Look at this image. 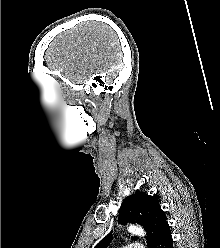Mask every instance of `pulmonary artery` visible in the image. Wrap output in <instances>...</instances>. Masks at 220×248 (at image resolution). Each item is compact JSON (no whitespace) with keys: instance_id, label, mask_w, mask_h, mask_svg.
Masks as SVG:
<instances>
[{"instance_id":"e3ab8cb5","label":"pulmonary artery","mask_w":220,"mask_h":248,"mask_svg":"<svg viewBox=\"0 0 220 248\" xmlns=\"http://www.w3.org/2000/svg\"><path fill=\"white\" fill-rule=\"evenodd\" d=\"M124 248H144L143 245L135 243V244H130Z\"/></svg>"}]
</instances>
